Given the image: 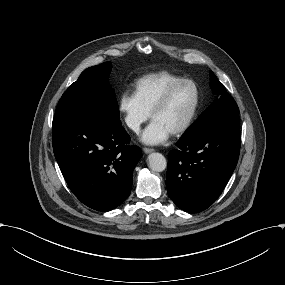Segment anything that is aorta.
Segmentation results:
<instances>
[{
    "instance_id": "1",
    "label": "aorta",
    "mask_w": 285,
    "mask_h": 285,
    "mask_svg": "<svg viewBox=\"0 0 285 285\" xmlns=\"http://www.w3.org/2000/svg\"><path fill=\"white\" fill-rule=\"evenodd\" d=\"M148 165L152 171L162 172L167 166L165 157L160 153H151L148 156Z\"/></svg>"
}]
</instances>
